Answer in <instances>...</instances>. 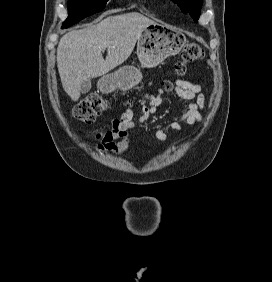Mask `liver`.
Instances as JSON below:
<instances>
[{
    "label": "liver",
    "instance_id": "1",
    "mask_svg": "<svg viewBox=\"0 0 272 282\" xmlns=\"http://www.w3.org/2000/svg\"><path fill=\"white\" fill-rule=\"evenodd\" d=\"M154 21L131 12L109 16L95 25L65 34L57 48L62 86L72 101L80 97L83 82L100 77L131 55L141 33ZM107 49L106 59L102 51Z\"/></svg>",
    "mask_w": 272,
    "mask_h": 282
}]
</instances>
